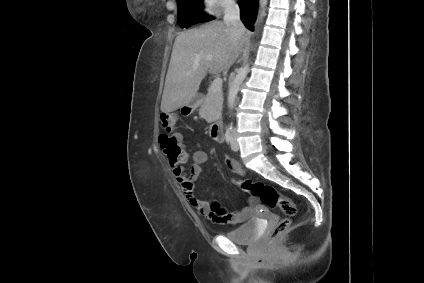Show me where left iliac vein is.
Masks as SVG:
<instances>
[{"mask_svg":"<svg viewBox=\"0 0 424 283\" xmlns=\"http://www.w3.org/2000/svg\"><path fill=\"white\" fill-rule=\"evenodd\" d=\"M231 149L233 151H238V149H239V144L237 142V138H236V133L235 132L232 133Z\"/></svg>","mask_w":424,"mask_h":283,"instance_id":"4c4485c4","label":"left iliac vein"}]
</instances>
